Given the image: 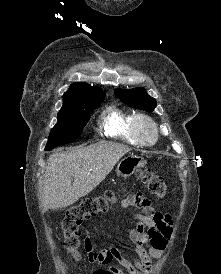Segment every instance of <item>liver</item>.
I'll list each match as a JSON object with an SVG mask.
<instances>
[{"instance_id": "1", "label": "liver", "mask_w": 221, "mask_h": 274, "mask_svg": "<svg viewBox=\"0 0 221 274\" xmlns=\"http://www.w3.org/2000/svg\"><path fill=\"white\" fill-rule=\"evenodd\" d=\"M130 151L125 145L99 142L50 155L40 191L41 207L61 209L74 204L93 191Z\"/></svg>"}]
</instances>
